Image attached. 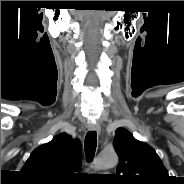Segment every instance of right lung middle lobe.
<instances>
[{"instance_id": "right-lung-middle-lobe-1", "label": "right lung middle lobe", "mask_w": 184, "mask_h": 184, "mask_svg": "<svg viewBox=\"0 0 184 184\" xmlns=\"http://www.w3.org/2000/svg\"><path fill=\"white\" fill-rule=\"evenodd\" d=\"M35 183H37V184H44V183H39V182H35Z\"/></svg>"}]
</instances>
